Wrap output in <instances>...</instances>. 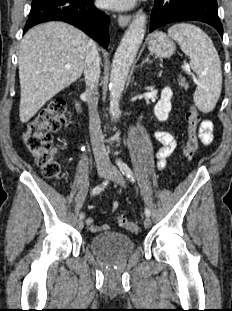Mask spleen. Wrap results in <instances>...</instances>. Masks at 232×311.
<instances>
[{"label":"spleen","instance_id":"3e777b00","mask_svg":"<svg viewBox=\"0 0 232 311\" xmlns=\"http://www.w3.org/2000/svg\"><path fill=\"white\" fill-rule=\"evenodd\" d=\"M168 35L190 57V66L198 76L193 100L203 113L211 112L222 88L221 62L211 38L199 27L179 23L168 29Z\"/></svg>","mask_w":232,"mask_h":311}]
</instances>
